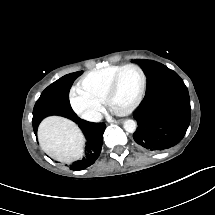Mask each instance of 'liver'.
Instances as JSON below:
<instances>
[{
	"label": "liver",
	"instance_id": "1",
	"mask_svg": "<svg viewBox=\"0 0 215 215\" xmlns=\"http://www.w3.org/2000/svg\"><path fill=\"white\" fill-rule=\"evenodd\" d=\"M37 138L42 151L54 161L72 164L84 156L86 138L73 120L49 115L37 128Z\"/></svg>",
	"mask_w": 215,
	"mask_h": 215
}]
</instances>
